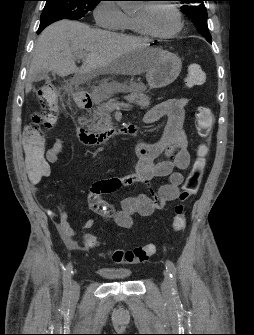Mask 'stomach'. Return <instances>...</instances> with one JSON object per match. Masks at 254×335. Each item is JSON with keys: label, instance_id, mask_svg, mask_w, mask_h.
I'll list each match as a JSON object with an SVG mask.
<instances>
[{"label": "stomach", "instance_id": "obj_1", "mask_svg": "<svg viewBox=\"0 0 254 335\" xmlns=\"http://www.w3.org/2000/svg\"><path fill=\"white\" fill-rule=\"evenodd\" d=\"M148 52L154 59L153 65L146 72L149 88H163L173 83L181 72V59L161 48H149Z\"/></svg>", "mask_w": 254, "mask_h": 335}]
</instances>
